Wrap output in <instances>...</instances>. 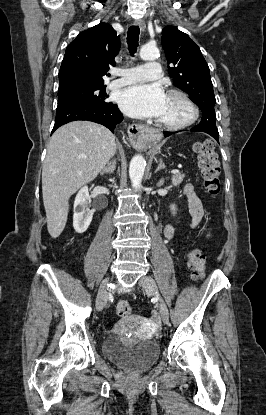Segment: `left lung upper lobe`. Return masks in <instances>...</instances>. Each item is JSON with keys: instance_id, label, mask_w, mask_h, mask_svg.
Returning <instances> with one entry per match:
<instances>
[{"instance_id": "1", "label": "left lung upper lobe", "mask_w": 266, "mask_h": 415, "mask_svg": "<svg viewBox=\"0 0 266 415\" xmlns=\"http://www.w3.org/2000/svg\"><path fill=\"white\" fill-rule=\"evenodd\" d=\"M161 42L174 85L188 93L202 111L201 122L193 130L218 137L210 70L200 48L187 34L173 26L163 28Z\"/></svg>"}]
</instances>
